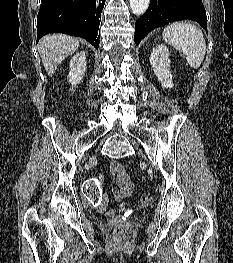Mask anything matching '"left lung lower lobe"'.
<instances>
[{"label":"left lung lower lobe","instance_id":"0a47b994","mask_svg":"<svg viewBox=\"0 0 233 263\" xmlns=\"http://www.w3.org/2000/svg\"><path fill=\"white\" fill-rule=\"evenodd\" d=\"M184 19L197 21L207 31L202 0H150L148 10L135 23L136 45L151 30Z\"/></svg>","mask_w":233,"mask_h":263}]
</instances>
